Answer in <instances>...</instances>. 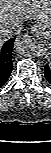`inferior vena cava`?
<instances>
[{"label": "inferior vena cava", "mask_w": 51, "mask_h": 153, "mask_svg": "<svg viewBox=\"0 0 51 153\" xmlns=\"http://www.w3.org/2000/svg\"><path fill=\"white\" fill-rule=\"evenodd\" d=\"M22 29H23L22 24H17L12 29L4 30L3 32L0 33V43L5 42L8 38L20 34Z\"/></svg>", "instance_id": "1"}]
</instances>
